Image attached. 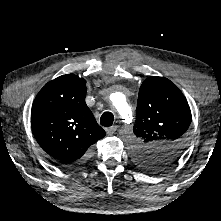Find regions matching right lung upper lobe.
Masks as SVG:
<instances>
[{
  "mask_svg": "<svg viewBox=\"0 0 221 221\" xmlns=\"http://www.w3.org/2000/svg\"><path fill=\"white\" fill-rule=\"evenodd\" d=\"M86 81L74 74L47 83L31 110L34 136L54 160L71 165L86 158L91 145L105 136L85 103Z\"/></svg>",
  "mask_w": 221,
  "mask_h": 221,
  "instance_id": "right-lung-upper-lobe-1",
  "label": "right lung upper lobe"
}]
</instances>
